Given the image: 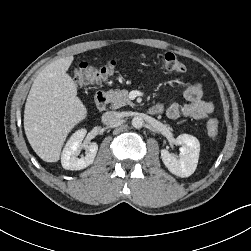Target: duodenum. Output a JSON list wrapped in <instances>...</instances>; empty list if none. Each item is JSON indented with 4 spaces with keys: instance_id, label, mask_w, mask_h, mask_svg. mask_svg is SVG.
<instances>
[{
    "instance_id": "1",
    "label": "duodenum",
    "mask_w": 251,
    "mask_h": 251,
    "mask_svg": "<svg viewBox=\"0 0 251 251\" xmlns=\"http://www.w3.org/2000/svg\"><path fill=\"white\" fill-rule=\"evenodd\" d=\"M95 102H96L97 107L100 110H104L108 104L107 92L105 90L98 91L95 95ZM160 112H161V107L157 104L152 105L148 109V113L151 115H156V114H159Z\"/></svg>"
}]
</instances>
